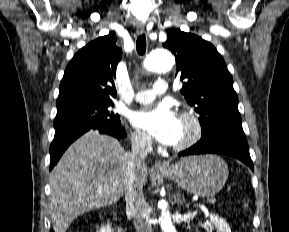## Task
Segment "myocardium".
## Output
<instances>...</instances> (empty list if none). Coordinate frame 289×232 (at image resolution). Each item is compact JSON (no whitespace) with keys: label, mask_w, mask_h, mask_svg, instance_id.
I'll list each match as a JSON object with an SVG mask.
<instances>
[{"label":"myocardium","mask_w":289,"mask_h":232,"mask_svg":"<svg viewBox=\"0 0 289 232\" xmlns=\"http://www.w3.org/2000/svg\"><path fill=\"white\" fill-rule=\"evenodd\" d=\"M179 120L188 123L191 127V133L188 138L183 142L173 146L174 150L183 151L192 147L200 140L203 133V126L200 118L192 111L186 110L181 112L179 115Z\"/></svg>","instance_id":"obj_1"}]
</instances>
